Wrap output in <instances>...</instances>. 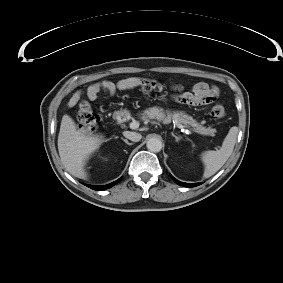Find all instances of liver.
I'll list each match as a JSON object with an SVG mask.
<instances>
[{"label": "liver", "mask_w": 283, "mask_h": 283, "mask_svg": "<svg viewBox=\"0 0 283 283\" xmlns=\"http://www.w3.org/2000/svg\"><path fill=\"white\" fill-rule=\"evenodd\" d=\"M99 141L94 137L81 136L69 115L62 117L58 135V151L61 163L72 176L85 179L84 169L89 156L97 150Z\"/></svg>", "instance_id": "6515ba94"}]
</instances>
